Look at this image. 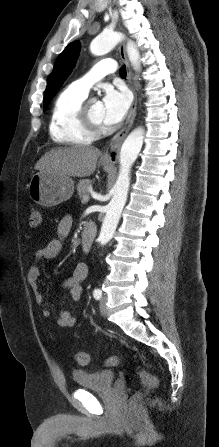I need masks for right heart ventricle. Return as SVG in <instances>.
Masks as SVG:
<instances>
[{
  "label": "right heart ventricle",
  "instance_id": "right-heart-ventricle-1",
  "mask_svg": "<svg viewBox=\"0 0 219 447\" xmlns=\"http://www.w3.org/2000/svg\"><path fill=\"white\" fill-rule=\"evenodd\" d=\"M86 96L70 86L59 93L55 99L50 116L49 133L58 144H89L95 134L83 128L79 122L78 111Z\"/></svg>",
  "mask_w": 219,
  "mask_h": 447
}]
</instances>
